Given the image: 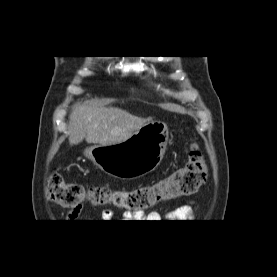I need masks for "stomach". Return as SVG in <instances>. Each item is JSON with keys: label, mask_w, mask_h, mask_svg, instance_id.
<instances>
[{"label": "stomach", "mask_w": 277, "mask_h": 277, "mask_svg": "<svg viewBox=\"0 0 277 277\" xmlns=\"http://www.w3.org/2000/svg\"><path fill=\"white\" fill-rule=\"evenodd\" d=\"M168 138L166 124L148 122L127 140L86 148L84 155L109 175L135 178L155 170L160 164Z\"/></svg>", "instance_id": "1"}]
</instances>
